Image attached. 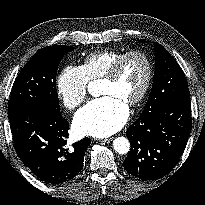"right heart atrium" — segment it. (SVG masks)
Segmentation results:
<instances>
[{
    "label": "right heart atrium",
    "instance_id": "obj_1",
    "mask_svg": "<svg viewBox=\"0 0 205 205\" xmlns=\"http://www.w3.org/2000/svg\"><path fill=\"white\" fill-rule=\"evenodd\" d=\"M88 80L81 67L66 66L56 79V93L69 110L80 106L87 96Z\"/></svg>",
    "mask_w": 205,
    "mask_h": 205
}]
</instances>
